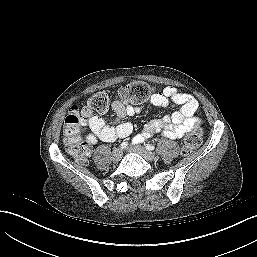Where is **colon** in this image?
<instances>
[{"instance_id": "1", "label": "colon", "mask_w": 257, "mask_h": 257, "mask_svg": "<svg viewBox=\"0 0 257 257\" xmlns=\"http://www.w3.org/2000/svg\"><path fill=\"white\" fill-rule=\"evenodd\" d=\"M153 95L151 85L135 81L120 88L119 98L122 102L141 103ZM110 105V95L106 90H98L92 94L86 103V109L91 112L104 114ZM82 115L76 106L72 107L64 123L65 145L68 153L78 162H85L89 156L87 144L81 137ZM202 142V128L195 126L185 137L182 145V153L190 154L200 146Z\"/></svg>"}]
</instances>
